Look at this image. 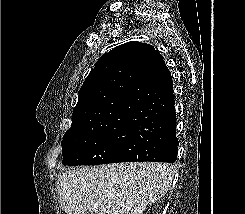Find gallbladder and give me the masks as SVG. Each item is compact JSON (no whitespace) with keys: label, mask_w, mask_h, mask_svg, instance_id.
<instances>
[{"label":"gallbladder","mask_w":245,"mask_h":214,"mask_svg":"<svg viewBox=\"0 0 245 214\" xmlns=\"http://www.w3.org/2000/svg\"><path fill=\"white\" fill-rule=\"evenodd\" d=\"M84 214H95L93 211L85 212Z\"/></svg>","instance_id":"gallbladder-1"}]
</instances>
